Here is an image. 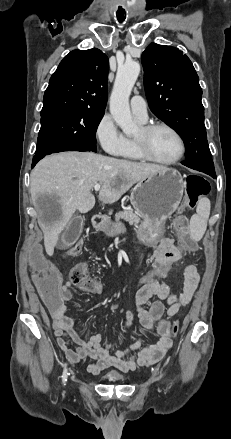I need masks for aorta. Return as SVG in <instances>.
I'll list each match as a JSON object with an SVG mask.
<instances>
[{"instance_id":"aorta-1","label":"aorta","mask_w":231,"mask_h":439,"mask_svg":"<svg viewBox=\"0 0 231 439\" xmlns=\"http://www.w3.org/2000/svg\"><path fill=\"white\" fill-rule=\"evenodd\" d=\"M140 73V64L126 62L118 67L110 96V113L126 135H133L138 127L130 112L129 97Z\"/></svg>"}]
</instances>
